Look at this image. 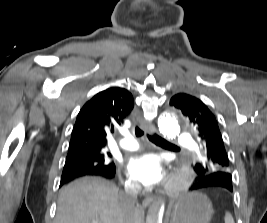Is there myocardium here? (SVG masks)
Wrapping results in <instances>:
<instances>
[{
    "instance_id": "f54148a6",
    "label": "myocardium",
    "mask_w": 267,
    "mask_h": 223,
    "mask_svg": "<svg viewBox=\"0 0 267 223\" xmlns=\"http://www.w3.org/2000/svg\"><path fill=\"white\" fill-rule=\"evenodd\" d=\"M192 181V173L186 169H181L169 182L167 189L171 193H177L188 189Z\"/></svg>"
}]
</instances>
